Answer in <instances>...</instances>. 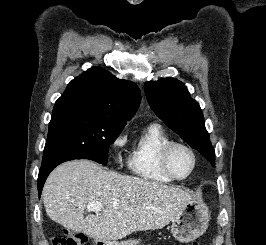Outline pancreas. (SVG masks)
<instances>
[{"label": "pancreas", "mask_w": 266, "mask_h": 245, "mask_svg": "<svg viewBox=\"0 0 266 245\" xmlns=\"http://www.w3.org/2000/svg\"><path fill=\"white\" fill-rule=\"evenodd\" d=\"M141 239H135V241H124V243H119V245H139Z\"/></svg>", "instance_id": "cf45deb5"}]
</instances>
